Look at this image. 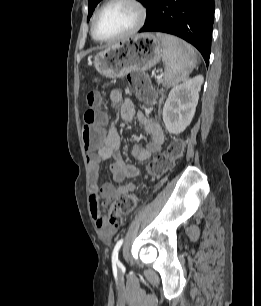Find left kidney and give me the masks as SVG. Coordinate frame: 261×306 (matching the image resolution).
<instances>
[{
    "label": "left kidney",
    "mask_w": 261,
    "mask_h": 306,
    "mask_svg": "<svg viewBox=\"0 0 261 306\" xmlns=\"http://www.w3.org/2000/svg\"><path fill=\"white\" fill-rule=\"evenodd\" d=\"M203 81V76L198 75L171 89L162 113L169 133L178 135L191 123Z\"/></svg>",
    "instance_id": "obj_1"
}]
</instances>
